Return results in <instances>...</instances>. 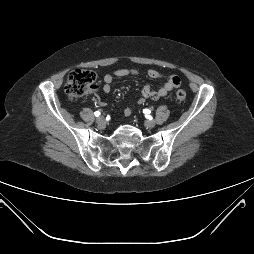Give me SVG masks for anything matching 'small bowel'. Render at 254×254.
<instances>
[{
  "instance_id": "obj_1",
  "label": "small bowel",
  "mask_w": 254,
  "mask_h": 254,
  "mask_svg": "<svg viewBox=\"0 0 254 254\" xmlns=\"http://www.w3.org/2000/svg\"><path fill=\"white\" fill-rule=\"evenodd\" d=\"M139 72L137 69H129V68H120L112 73H107L103 76V85L101 87L104 93H109L111 91V84L114 78H121L131 75H137ZM147 75L151 79H158L161 77V73L155 69H149L147 71ZM181 84V79L177 75H169L167 77V81L161 86L159 89H153L149 85H144L141 90V97L138 100L139 104H143L146 99L158 100L160 98L165 97L169 94L173 89L179 87ZM124 114L129 116L131 114V108L128 106L124 109Z\"/></svg>"
}]
</instances>
